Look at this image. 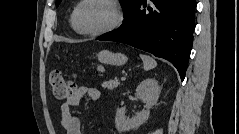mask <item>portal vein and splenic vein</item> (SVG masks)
Listing matches in <instances>:
<instances>
[{
	"mask_svg": "<svg viewBox=\"0 0 239 134\" xmlns=\"http://www.w3.org/2000/svg\"><path fill=\"white\" fill-rule=\"evenodd\" d=\"M125 79H126V77H125V76H122V77H121V80H122V81H123V80H125Z\"/></svg>",
	"mask_w": 239,
	"mask_h": 134,
	"instance_id": "1",
	"label": "portal vein and splenic vein"
}]
</instances>
